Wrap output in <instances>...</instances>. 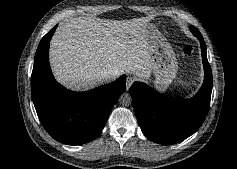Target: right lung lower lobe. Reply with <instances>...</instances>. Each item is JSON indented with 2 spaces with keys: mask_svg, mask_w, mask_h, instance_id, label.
Wrapping results in <instances>:
<instances>
[{
  "mask_svg": "<svg viewBox=\"0 0 237 169\" xmlns=\"http://www.w3.org/2000/svg\"><path fill=\"white\" fill-rule=\"evenodd\" d=\"M53 28L41 40L31 78L32 99L41 123L57 141L79 145L96 138L109 112L125 90V76L88 92H72L51 73L48 50Z\"/></svg>",
  "mask_w": 237,
  "mask_h": 169,
  "instance_id": "98d812e1",
  "label": "right lung lower lobe"
}]
</instances>
